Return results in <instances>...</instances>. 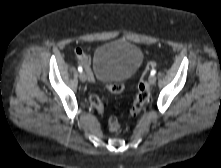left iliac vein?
Returning <instances> with one entry per match:
<instances>
[{"mask_svg":"<svg viewBox=\"0 0 221 168\" xmlns=\"http://www.w3.org/2000/svg\"><path fill=\"white\" fill-rule=\"evenodd\" d=\"M149 84L153 85L156 82V77L154 75H150L148 78Z\"/></svg>","mask_w":221,"mask_h":168,"instance_id":"obj_1","label":"left iliac vein"}]
</instances>
